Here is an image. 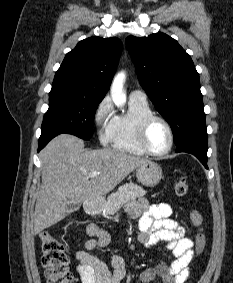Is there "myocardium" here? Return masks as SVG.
<instances>
[{
	"label": "myocardium",
	"instance_id": "1",
	"mask_svg": "<svg viewBox=\"0 0 233 283\" xmlns=\"http://www.w3.org/2000/svg\"><path fill=\"white\" fill-rule=\"evenodd\" d=\"M153 121L162 122L164 124V126L166 127L168 133H169V138H170L169 145L162 152H155V151L151 150L149 148V146L147 145V142H146L147 130H148L150 124ZM135 138H136V142H137L138 146L140 147V149L145 154H148V155H151V156H164L172 150L173 145H174V132H173V129H172L170 123L164 117L157 115L155 113L147 114V115L143 116L137 122L136 129H135Z\"/></svg>",
	"mask_w": 233,
	"mask_h": 283
}]
</instances>
